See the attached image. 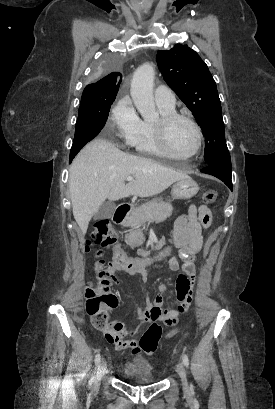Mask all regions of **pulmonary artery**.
Here are the masks:
<instances>
[{"instance_id":"obj_1","label":"pulmonary artery","mask_w":275,"mask_h":409,"mask_svg":"<svg viewBox=\"0 0 275 409\" xmlns=\"http://www.w3.org/2000/svg\"><path fill=\"white\" fill-rule=\"evenodd\" d=\"M154 97L158 107L165 109L175 108L176 98L174 93L170 91L169 85H156Z\"/></svg>"}]
</instances>
